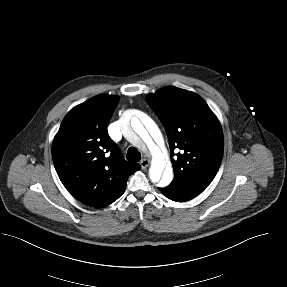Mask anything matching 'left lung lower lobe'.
Here are the masks:
<instances>
[{"label": "left lung lower lobe", "mask_w": 287, "mask_h": 287, "mask_svg": "<svg viewBox=\"0 0 287 287\" xmlns=\"http://www.w3.org/2000/svg\"><path fill=\"white\" fill-rule=\"evenodd\" d=\"M163 195H165L168 199L176 201V202H185L188 201L192 198H194V196L184 192L183 190H181L180 188L173 186V185H168L167 187H163V188H158Z\"/></svg>", "instance_id": "left-lung-lower-lobe-1"}]
</instances>
